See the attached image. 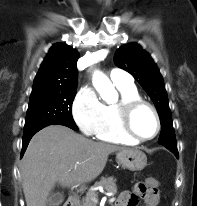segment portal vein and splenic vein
Instances as JSON below:
<instances>
[{"instance_id":"18ae733b","label":"portal vein and splenic vein","mask_w":197,"mask_h":206,"mask_svg":"<svg viewBox=\"0 0 197 206\" xmlns=\"http://www.w3.org/2000/svg\"><path fill=\"white\" fill-rule=\"evenodd\" d=\"M115 201V198L114 197H111L110 199H109V202H114Z\"/></svg>"}]
</instances>
